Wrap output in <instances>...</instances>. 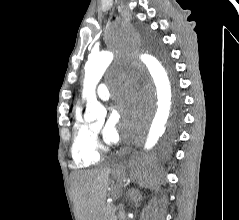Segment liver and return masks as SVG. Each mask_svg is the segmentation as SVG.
<instances>
[{
  "label": "liver",
  "mask_w": 239,
  "mask_h": 220,
  "mask_svg": "<svg viewBox=\"0 0 239 220\" xmlns=\"http://www.w3.org/2000/svg\"><path fill=\"white\" fill-rule=\"evenodd\" d=\"M111 171L109 167H105L71 174L77 220H103Z\"/></svg>",
  "instance_id": "6515ba94"
}]
</instances>
